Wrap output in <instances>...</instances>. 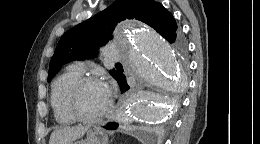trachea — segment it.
I'll return each mask as SVG.
<instances>
[{
	"instance_id": "obj_1",
	"label": "trachea",
	"mask_w": 260,
	"mask_h": 144,
	"mask_svg": "<svg viewBox=\"0 0 260 144\" xmlns=\"http://www.w3.org/2000/svg\"><path fill=\"white\" fill-rule=\"evenodd\" d=\"M116 65H121L120 63H116Z\"/></svg>"
}]
</instances>
